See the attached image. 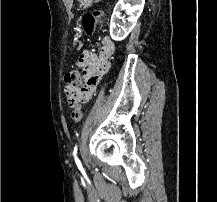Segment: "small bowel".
<instances>
[{
    "mask_svg": "<svg viewBox=\"0 0 217 202\" xmlns=\"http://www.w3.org/2000/svg\"><path fill=\"white\" fill-rule=\"evenodd\" d=\"M115 51V45L112 40L105 38L98 52V56L90 54L82 55L79 63L86 68L88 74V84L82 95H92L100 77L109 69V59Z\"/></svg>",
    "mask_w": 217,
    "mask_h": 202,
    "instance_id": "obj_1",
    "label": "small bowel"
}]
</instances>
